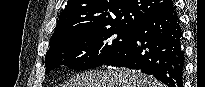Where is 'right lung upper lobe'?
Listing matches in <instances>:
<instances>
[{"instance_id": "obj_1", "label": "right lung upper lobe", "mask_w": 205, "mask_h": 87, "mask_svg": "<svg viewBox=\"0 0 205 87\" xmlns=\"http://www.w3.org/2000/svg\"><path fill=\"white\" fill-rule=\"evenodd\" d=\"M171 4L170 0H68L50 43L81 32L135 29Z\"/></svg>"}]
</instances>
